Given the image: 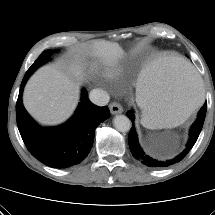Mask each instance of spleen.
Listing matches in <instances>:
<instances>
[{"label": "spleen", "instance_id": "spleen-1", "mask_svg": "<svg viewBox=\"0 0 215 215\" xmlns=\"http://www.w3.org/2000/svg\"><path fill=\"white\" fill-rule=\"evenodd\" d=\"M203 84L181 57L167 56L144 69L138 80L137 103L144 127L183 122L203 100Z\"/></svg>", "mask_w": 215, "mask_h": 215}]
</instances>
